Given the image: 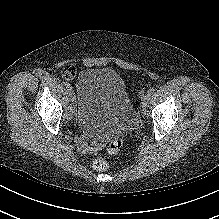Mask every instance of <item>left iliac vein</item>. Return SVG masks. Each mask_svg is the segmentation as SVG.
<instances>
[{
    "mask_svg": "<svg viewBox=\"0 0 219 219\" xmlns=\"http://www.w3.org/2000/svg\"><path fill=\"white\" fill-rule=\"evenodd\" d=\"M149 100H150V96L146 94L143 97V100H142V111H143V113L147 112V107L149 106Z\"/></svg>",
    "mask_w": 219,
    "mask_h": 219,
    "instance_id": "1",
    "label": "left iliac vein"
}]
</instances>
